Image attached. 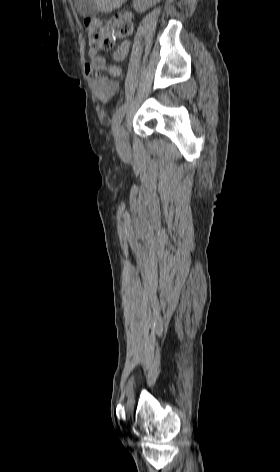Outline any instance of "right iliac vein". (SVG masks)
Wrapping results in <instances>:
<instances>
[{"label":"right iliac vein","mask_w":280,"mask_h":472,"mask_svg":"<svg viewBox=\"0 0 280 472\" xmlns=\"http://www.w3.org/2000/svg\"><path fill=\"white\" fill-rule=\"evenodd\" d=\"M116 142L120 155L123 157H128L130 155V145L124 124L119 127L118 134L116 136Z\"/></svg>","instance_id":"1"}]
</instances>
